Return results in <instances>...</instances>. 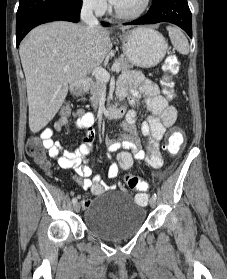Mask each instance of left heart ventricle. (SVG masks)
<instances>
[{
    "instance_id": "1",
    "label": "left heart ventricle",
    "mask_w": 227,
    "mask_h": 279,
    "mask_svg": "<svg viewBox=\"0 0 227 279\" xmlns=\"http://www.w3.org/2000/svg\"><path fill=\"white\" fill-rule=\"evenodd\" d=\"M143 0H118L115 6L123 13H133L141 8Z\"/></svg>"
}]
</instances>
